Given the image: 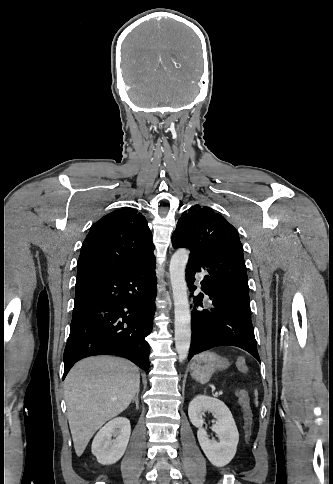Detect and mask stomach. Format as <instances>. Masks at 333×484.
Instances as JSON below:
<instances>
[{"label":"stomach","instance_id":"1","mask_svg":"<svg viewBox=\"0 0 333 484\" xmlns=\"http://www.w3.org/2000/svg\"><path fill=\"white\" fill-rule=\"evenodd\" d=\"M228 366L226 358L212 352H203L193 358L190 364L191 376L200 383H207L216 370Z\"/></svg>","mask_w":333,"mask_h":484}]
</instances>
